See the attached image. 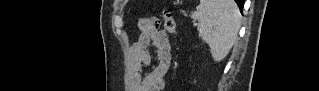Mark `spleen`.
I'll list each match as a JSON object with an SVG mask.
<instances>
[{
  "label": "spleen",
  "instance_id": "1",
  "mask_svg": "<svg viewBox=\"0 0 319 91\" xmlns=\"http://www.w3.org/2000/svg\"><path fill=\"white\" fill-rule=\"evenodd\" d=\"M190 17L198 21L199 37L209 45L213 60H223L241 27V15L235 1L201 0Z\"/></svg>",
  "mask_w": 319,
  "mask_h": 91
}]
</instances>
